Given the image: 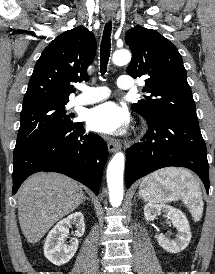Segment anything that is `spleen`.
<instances>
[{
    "mask_svg": "<svg viewBox=\"0 0 215 274\" xmlns=\"http://www.w3.org/2000/svg\"><path fill=\"white\" fill-rule=\"evenodd\" d=\"M140 188L149 203L181 199L194 215L203 211V198L196 177L185 169L166 168L146 176Z\"/></svg>",
    "mask_w": 215,
    "mask_h": 274,
    "instance_id": "spleen-1",
    "label": "spleen"
}]
</instances>
